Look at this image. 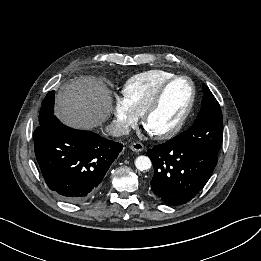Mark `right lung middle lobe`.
Listing matches in <instances>:
<instances>
[{"label":"right lung middle lobe","mask_w":261,"mask_h":261,"mask_svg":"<svg viewBox=\"0 0 261 261\" xmlns=\"http://www.w3.org/2000/svg\"><path fill=\"white\" fill-rule=\"evenodd\" d=\"M54 91H50L42 101V107L39 112V126L53 116Z\"/></svg>","instance_id":"dd1d6c3e"}]
</instances>
